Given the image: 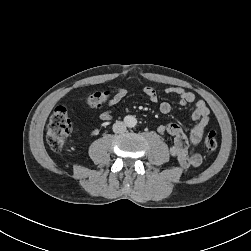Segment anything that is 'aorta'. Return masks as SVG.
<instances>
[{
	"instance_id": "obj_1",
	"label": "aorta",
	"mask_w": 251,
	"mask_h": 251,
	"mask_svg": "<svg viewBox=\"0 0 251 251\" xmlns=\"http://www.w3.org/2000/svg\"><path fill=\"white\" fill-rule=\"evenodd\" d=\"M125 124L127 125V127H130V128L135 127L137 124V119L131 115L127 116L125 118Z\"/></svg>"
}]
</instances>
